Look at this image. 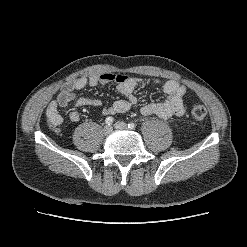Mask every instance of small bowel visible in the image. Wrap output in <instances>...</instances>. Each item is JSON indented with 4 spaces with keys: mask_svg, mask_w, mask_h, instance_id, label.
Listing matches in <instances>:
<instances>
[{
    "mask_svg": "<svg viewBox=\"0 0 247 247\" xmlns=\"http://www.w3.org/2000/svg\"><path fill=\"white\" fill-rule=\"evenodd\" d=\"M112 82L117 84V89L122 95V98L116 100L112 105L104 107L102 109L103 115L127 112L137 101L134 91L139 86L160 88L165 94V100L163 102L149 103L141 108V113L144 116L155 115L162 119H168L172 116H182L186 111L183 96L187 89L186 86L177 81H160L158 79L144 77H131L125 74L103 73L93 75L89 78L80 77L67 83L47 107L46 115L50 126L57 129L63 123V117L59 110L66 108L73 100H75L77 107H100L102 103L99 99L91 97H80L76 99V92L86 86H103ZM69 119L72 122H77L80 119V114L77 111H71Z\"/></svg>",
    "mask_w": 247,
    "mask_h": 247,
    "instance_id": "1",
    "label": "small bowel"
}]
</instances>
